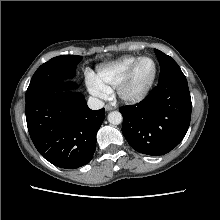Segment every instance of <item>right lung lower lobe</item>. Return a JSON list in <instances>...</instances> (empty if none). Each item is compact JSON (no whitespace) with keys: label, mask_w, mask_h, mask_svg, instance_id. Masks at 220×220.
<instances>
[{"label":"right lung lower lobe","mask_w":220,"mask_h":220,"mask_svg":"<svg viewBox=\"0 0 220 220\" xmlns=\"http://www.w3.org/2000/svg\"><path fill=\"white\" fill-rule=\"evenodd\" d=\"M104 117V108L91 110L75 91H50L26 102L27 127L35 147L50 163L66 169L90 162Z\"/></svg>","instance_id":"obj_1"}]
</instances>
